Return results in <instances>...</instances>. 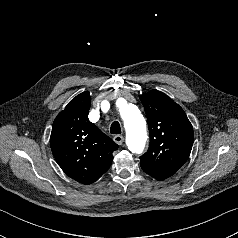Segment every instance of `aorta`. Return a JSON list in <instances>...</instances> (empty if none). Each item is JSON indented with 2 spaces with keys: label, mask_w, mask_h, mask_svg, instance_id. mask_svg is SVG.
Listing matches in <instances>:
<instances>
[{
  "label": "aorta",
  "mask_w": 238,
  "mask_h": 238,
  "mask_svg": "<svg viewBox=\"0 0 238 238\" xmlns=\"http://www.w3.org/2000/svg\"><path fill=\"white\" fill-rule=\"evenodd\" d=\"M119 112L126 129V143L133 153H141L147 140L146 121L140 110L133 104L123 101Z\"/></svg>",
  "instance_id": "obj_1"
}]
</instances>
